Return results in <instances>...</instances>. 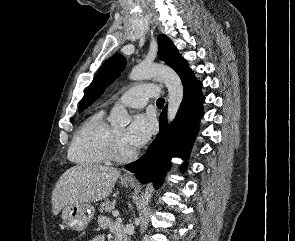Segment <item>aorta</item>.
<instances>
[{
	"label": "aorta",
	"instance_id": "obj_1",
	"mask_svg": "<svg viewBox=\"0 0 295 241\" xmlns=\"http://www.w3.org/2000/svg\"><path fill=\"white\" fill-rule=\"evenodd\" d=\"M157 78L163 82L168 89L167 120L171 123L183 100V85L179 75L171 68L159 64L141 63L135 66L129 75L131 80H143ZM130 116L123 106H115L110 112L108 121L114 127H125L130 123ZM154 187L149 183L143 193L141 205L147 206L153 195Z\"/></svg>",
	"mask_w": 295,
	"mask_h": 241
}]
</instances>
